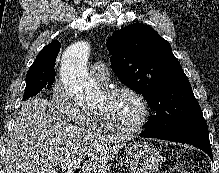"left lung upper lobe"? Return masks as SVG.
<instances>
[{
	"label": "left lung upper lobe",
	"mask_w": 219,
	"mask_h": 173,
	"mask_svg": "<svg viewBox=\"0 0 219 173\" xmlns=\"http://www.w3.org/2000/svg\"><path fill=\"white\" fill-rule=\"evenodd\" d=\"M107 48L120 81L141 93L156 111L145 133L160 136L207 127L182 66L153 28L133 24L117 30L107 40Z\"/></svg>",
	"instance_id": "5c2ea615"
}]
</instances>
